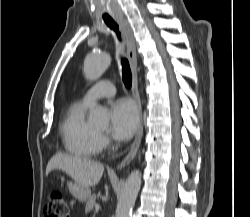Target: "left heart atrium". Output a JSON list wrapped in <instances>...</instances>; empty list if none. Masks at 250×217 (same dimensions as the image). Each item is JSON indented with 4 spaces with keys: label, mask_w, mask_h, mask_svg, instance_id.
Masks as SVG:
<instances>
[{
    "label": "left heart atrium",
    "mask_w": 250,
    "mask_h": 217,
    "mask_svg": "<svg viewBox=\"0 0 250 217\" xmlns=\"http://www.w3.org/2000/svg\"><path fill=\"white\" fill-rule=\"evenodd\" d=\"M139 113L129 99L115 101L110 109V131L118 140L129 139L137 130Z\"/></svg>",
    "instance_id": "39dd6f15"
}]
</instances>
